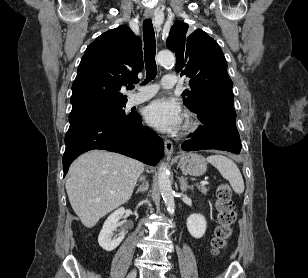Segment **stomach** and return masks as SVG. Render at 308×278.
<instances>
[{
	"label": "stomach",
	"mask_w": 308,
	"mask_h": 278,
	"mask_svg": "<svg viewBox=\"0 0 308 278\" xmlns=\"http://www.w3.org/2000/svg\"><path fill=\"white\" fill-rule=\"evenodd\" d=\"M178 167L184 174L192 176H201L207 170L205 158L196 153H188L181 156Z\"/></svg>",
	"instance_id": "1"
}]
</instances>
